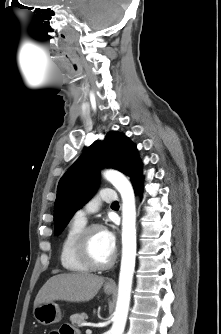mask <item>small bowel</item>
Instances as JSON below:
<instances>
[{
  "instance_id": "1",
  "label": "small bowel",
  "mask_w": 221,
  "mask_h": 334,
  "mask_svg": "<svg viewBox=\"0 0 221 334\" xmlns=\"http://www.w3.org/2000/svg\"><path fill=\"white\" fill-rule=\"evenodd\" d=\"M57 334H76L75 331L69 327H62L59 331H55Z\"/></svg>"
}]
</instances>
